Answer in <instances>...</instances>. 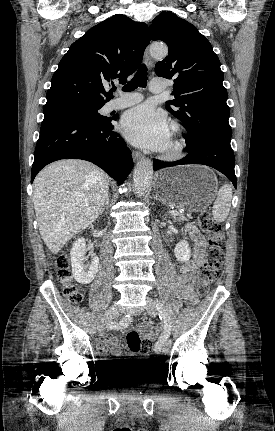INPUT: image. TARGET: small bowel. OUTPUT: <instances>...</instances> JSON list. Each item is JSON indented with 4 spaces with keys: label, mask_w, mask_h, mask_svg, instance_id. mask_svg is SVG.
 <instances>
[{
    "label": "small bowel",
    "mask_w": 275,
    "mask_h": 431,
    "mask_svg": "<svg viewBox=\"0 0 275 431\" xmlns=\"http://www.w3.org/2000/svg\"><path fill=\"white\" fill-rule=\"evenodd\" d=\"M189 239L193 242V260L181 265L178 269L177 278L180 284L181 295L183 300L193 305L197 302V296L194 292L195 275L201 266L205 250V239L202 233L192 224L186 226ZM141 337L144 340L152 341L155 337L150 323H143L138 326ZM100 354L105 355L109 351L114 356L121 354V348L118 344V338L115 335L103 334L98 342Z\"/></svg>",
    "instance_id": "c3829d8e"
}]
</instances>
